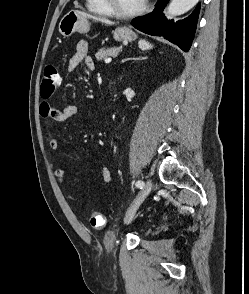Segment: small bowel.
Segmentation results:
<instances>
[{"label":"small bowel","mask_w":249,"mask_h":294,"mask_svg":"<svg viewBox=\"0 0 249 294\" xmlns=\"http://www.w3.org/2000/svg\"><path fill=\"white\" fill-rule=\"evenodd\" d=\"M79 64H83L88 70H93L94 63L89 55V44L86 41H79L76 45L75 52L71 56L68 63V70L72 71ZM40 115L46 120L50 127L52 123L64 122L73 117H91L92 112L88 109H81L75 105H67L63 109H57L49 102H42L40 104ZM47 142L53 153L58 151V141L51 131L47 133ZM92 163L88 164L84 171L87 172ZM102 180L101 187L105 188L111 184L112 176L107 166L100 164ZM54 176L58 183L62 186L66 185V176L64 170L54 168ZM69 199L73 202H79L81 199L74 195H69Z\"/></svg>","instance_id":"1"}]
</instances>
